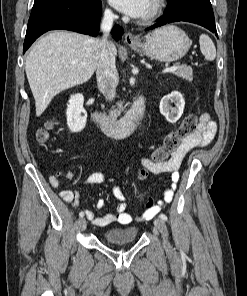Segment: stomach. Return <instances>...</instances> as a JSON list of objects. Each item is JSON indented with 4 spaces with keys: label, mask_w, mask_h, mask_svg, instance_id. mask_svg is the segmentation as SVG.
<instances>
[{
    "label": "stomach",
    "mask_w": 247,
    "mask_h": 296,
    "mask_svg": "<svg viewBox=\"0 0 247 296\" xmlns=\"http://www.w3.org/2000/svg\"><path fill=\"white\" fill-rule=\"evenodd\" d=\"M135 51L161 62H173L186 55L190 48L187 34L174 25L156 29L130 44Z\"/></svg>",
    "instance_id": "1"
}]
</instances>
